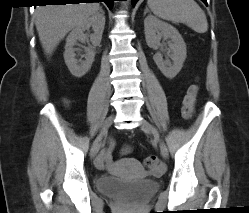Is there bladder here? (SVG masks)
I'll list each match as a JSON object with an SVG mask.
<instances>
[{
  "mask_svg": "<svg viewBox=\"0 0 249 213\" xmlns=\"http://www.w3.org/2000/svg\"><path fill=\"white\" fill-rule=\"evenodd\" d=\"M98 190L111 197L142 202L153 195L159 188L156 180L144 177L140 180H124L112 176L100 177Z\"/></svg>",
  "mask_w": 249,
  "mask_h": 213,
  "instance_id": "31cf9c89",
  "label": "bladder"
}]
</instances>
